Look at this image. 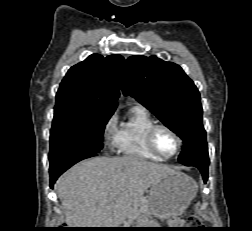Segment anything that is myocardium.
Segmentation results:
<instances>
[{
    "label": "myocardium",
    "instance_id": "f54148a6",
    "mask_svg": "<svg viewBox=\"0 0 252 231\" xmlns=\"http://www.w3.org/2000/svg\"><path fill=\"white\" fill-rule=\"evenodd\" d=\"M160 129H164L166 131H168L177 141V149L176 151L170 155V156H164L160 153V151L158 150V148L156 147V144H155V135L157 133L158 130ZM147 145L149 147V149L155 154L157 155L159 158H161L162 160H170L174 157H176L179 152L181 151L182 149V146H183V141L181 139V137L179 136V134L173 129L171 128L170 126L166 125V124H155L153 125L148 133H147Z\"/></svg>",
    "mask_w": 252,
    "mask_h": 231
}]
</instances>
